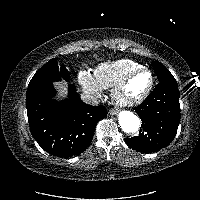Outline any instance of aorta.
<instances>
[{"label":"aorta","mask_w":200,"mask_h":200,"mask_svg":"<svg viewBox=\"0 0 200 200\" xmlns=\"http://www.w3.org/2000/svg\"><path fill=\"white\" fill-rule=\"evenodd\" d=\"M119 125L125 133H135L140 126V119L132 112L124 110L118 115Z\"/></svg>","instance_id":"1"}]
</instances>
